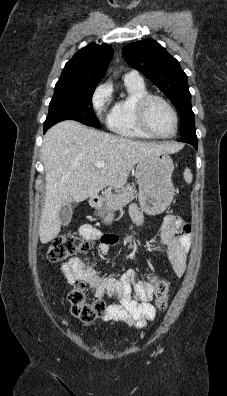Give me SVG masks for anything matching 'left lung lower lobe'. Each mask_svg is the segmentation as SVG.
<instances>
[{"instance_id":"1","label":"left lung lower lobe","mask_w":227,"mask_h":396,"mask_svg":"<svg viewBox=\"0 0 227 396\" xmlns=\"http://www.w3.org/2000/svg\"><path fill=\"white\" fill-rule=\"evenodd\" d=\"M180 142H185L188 144H191L192 146L197 149V136L195 130H191L183 135H181V138L179 139Z\"/></svg>"}]
</instances>
